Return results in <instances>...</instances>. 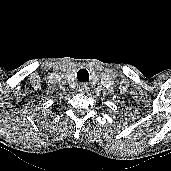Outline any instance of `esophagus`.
<instances>
[{
  "mask_svg": "<svg viewBox=\"0 0 171 171\" xmlns=\"http://www.w3.org/2000/svg\"><path fill=\"white\" fill-rule=\"evenodd\" d=\"M89 90V86H88V83L87 82H81L79 85H78V91L79 92H82V93H85Z\"/></svg>",
  "mask_w": 171,
  "mask_h": 171,
  "instance_id": "1",
  "label": "esophagus"
}]
</instances>
